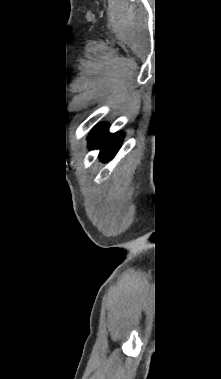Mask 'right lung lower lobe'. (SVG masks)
Instances as JSON below:
<instances>
[{
    "label": "right lung lower lobe",
    "instance_id": "right-lung-lower-lobe-1",
    "mask_svg": "<svg viewBox=\"0 0 221 379\" xmlns=\"http://www.w3.org/2000/svg\"><path fill=\"white\" fill-rule=\"evenodd\" d=\"M123 133L108 134L107 130L96 143H89L90 148H100V158L107 160L112 158L121 146Z\"/></svg>",
    "mask_w": 221,
    "mask_h": 379
}]
</instances>
